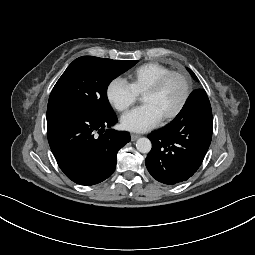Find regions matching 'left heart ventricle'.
<instances>
[{
    "label": "left heart ventricle",
    "mask_w": 255,
    "mask_h": 255,
    "mask_svg": "<svg viewBox=\"0 0 255 255\" xmlns=\"http://www.w3.org/2000/svg\"><path fill=\"white\" fill-rule=\"evenodd\" d=\"M184 94V83L178 76L171 77L156 93H147L143 96L144 103L153 104L162 114L172 112L180 103Z\"/></svg>",
    "instance_id": "1"
}]
</instances>
